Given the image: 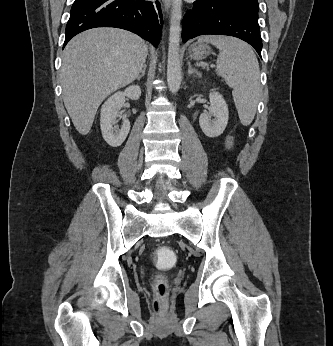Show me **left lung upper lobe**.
<instances>
[{"label":"left lung upper lobe","mask_w":333,"mask_h":346,"mask_svg":"<svg viewBox=\"0 0 333 346\" xmlns=\"http://www.w3.org/2000/svg\"><path fill=\"white\" fill-rule=\"evenodd\" d=\"M235 10H241L253 17L258 18V1L257 0H222Z\"/></svg>","instance_id":"left-lung-upper-lobe-1"}]
</instances>
